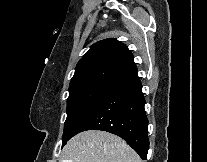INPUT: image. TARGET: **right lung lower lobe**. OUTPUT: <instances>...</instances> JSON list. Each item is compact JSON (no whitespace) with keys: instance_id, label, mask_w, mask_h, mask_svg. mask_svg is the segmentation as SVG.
<instances>
[{"instance_id":"1","label":"right lung lower lobe","mask_w":207,"mask_h":162,"mask_svg":"<svg viewBox=\"0 0 207 162\" xmlns=\"http://www.w3.org/2000/svg\"><path fill=\"white\" fill-rule=\"evenodd\" d=\"M144 104L142 85L135 75L106 96L76 127L72 136L85 130L107 131L123 138L145 160L149 141Z\"/></svg>"}]
</instances>
